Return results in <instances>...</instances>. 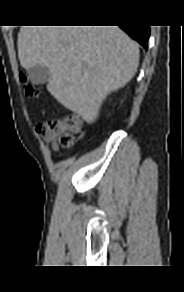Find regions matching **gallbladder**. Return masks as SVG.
Wrapping results in <instances>:
<instances>
[{
	"mask_svg": "<svg viewBox=\"0 0 184 292\" xmlns=\"http://www.w3.org/2000/svg\"><path fill=\"white\" fill-rule=\"evenodd\" d=\"M27 72L31 82L35 85L45 84L49 81L50 71L47 67L36 65Z\"/></svg>",
	"mask_w": 184,
	"mask_h": 292,
	"instance_id": "1",
	"label": "gallbladder"
}]
</instances>
